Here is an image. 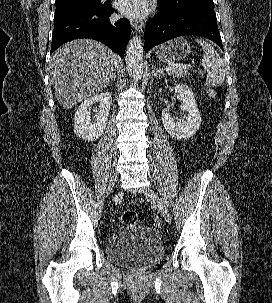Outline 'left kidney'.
<instances>
[{
  "label": "left kidney",
  "instance_id": "left-kidney-1",
  "mask_svg": "<svg viewBox=\"0 0 272 303\" xmlns=\"http://www.w3.org/2000/svg\"><path fill=\"white\" fill-rule=\"evenodd\" d=\"M169 86H166V89ZM175 92L182 99L181 111L187 115L178 118L172 117L169 109L162 110V123L165 130L178 140L192 137L200 128L201 113L196 105L192 90L185 84H177L174 87Z\"/></svg>",
  "mask_w": 272,
  "mask_h": 303
}]
</instances>
